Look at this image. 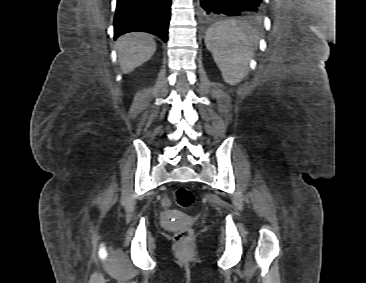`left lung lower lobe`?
I'll use <instances>...</instances> for the list:
<instances>
[{
	"label": "left lung lower lobe",
	"instance_id": "0a47b994",
	"mask_svg": "<svg viewBox=\"0 0 366 283\" xmlns=\"http://www.w3.org/2000/svg\"><path fill=\"white\" fill-rule=\"evenodd\" d=\"M200 6L206 18L222 14L237 16L262 11L263 0H200Z\"/></svg>",
	"mask_w": 366,
	"mask_h": 283
}]
</instances>
